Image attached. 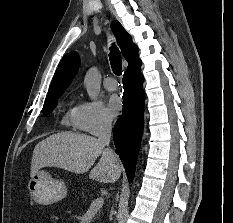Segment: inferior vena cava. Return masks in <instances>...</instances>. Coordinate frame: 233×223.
<instances>
[{"label":"inferior vena cava","mask_w":233,"mask_h":223,"mask_svg":"<svg viewBox=\"0 0 233 223\" xmlns=\"http://www.w3.org/2000/svg\"><path fill=\"white\" fill-rule=\"evenodd\" d=\"M98 141L99 143H102V145H109L110 137H111V131H112V121L111 119H108V117H101L99 119V125H98Z\"/></svg>","instance_id":"602c4592"}]
</instances>
